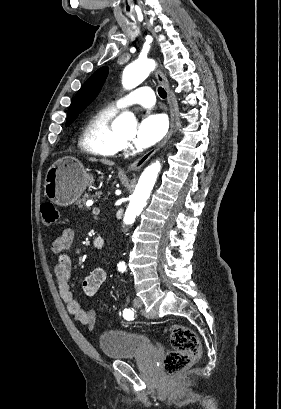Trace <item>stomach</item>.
I'll return each instance as SVG.
<instances>
[{"mask_svg":"<svg viewBox=\"0 0 281 409\" xmlns=\"http://www.w3.org/2000/svg\"><path fill=\"white\" fill-rule=\"evenodd\" d=\"M92 182L94 176L89 174L81 160L75 156H62L48 168L44 192L54 205L68 207Z\"/></svg>","mask_w":281,"mask_h":409,"instance_id":"obj_1","label":"stomach"}]
</instances>
